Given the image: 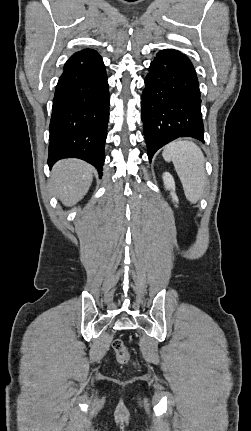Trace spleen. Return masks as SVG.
Returning a JSON list of instances; mask_svg holds the SVG:
<instances>
[{"mask_svg":"<svg viewBox=\"0 0 251 431\" xmlns=\"http://www.w3.org/2000/svg\"><path fill=\"white\" fill-rule=\"evenodd\" d=\"M163 158L172 161L182 182L186 198L196 203L203 194L206 173L201 149L191 141H174L163 149Z\"/></svg>","mask_w":251,"mask_h":431,"instance_id":"3e777b00","label":"spleen"}]
</instances>
